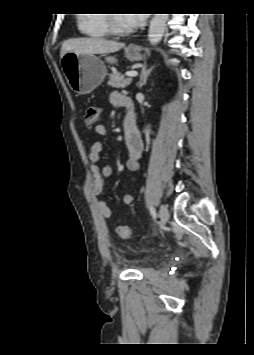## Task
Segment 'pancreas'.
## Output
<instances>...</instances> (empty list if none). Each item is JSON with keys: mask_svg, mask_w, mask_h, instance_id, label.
Returning a JSON list of instances; mask_svg holds the SVG:
<instances>
[{"mask_svg": "<svg viewBox=\"0 0 254 355\" xmlns=\"http://www.w3.org/2000/svg\"><path fill=\"white\" fill-rule=\"evenodd\" d=\"M131 83V79H125L119 72L113 71L109 75L108 85L116 88H125Z\"/></svg>", "mask_w": 254, "mask_h": 355, "instance_id": "obj_1", "label": "pancreas"}]
</instances>
